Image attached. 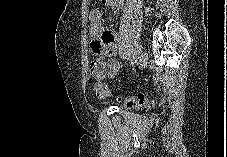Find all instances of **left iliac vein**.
<instances>
[{"instance_id":"1","label":"left iliac vein","mask_w":227,"mask_h":157,"mask_svg":"<svg viewBox=\"0 0 227 157\" xmlns=\"http://www.w3.org/2000/svg\"><path fill=\"white\" fill-rule=\"evenodd\" d=\"M147 61H148V53L146 51H142L137 58V65L139 66V68L142 69L146 67Z\"/></svg>"}]
</instances>
